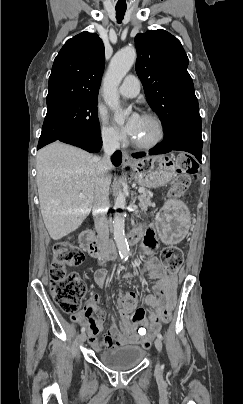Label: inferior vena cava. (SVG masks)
Wrapping results in <instances>:
<instances>
[{
  "label": "inferior vena cava",
  "instance_id": "1",
  "mask_svg": "<svg viewBox=\"0 0 243 404\" xmlns=\"http://www.w3.org/2000/svg\"><path fill=\"white\" fill-rule=\"evenodd\" d=\"M103 148L104 156L99 158L95 176V192L93 200V216L95 230L101 242L104 254L109 252V228L107 222V212L109 208V188L111 184V176L108 172L112 168L110 156L115 150L120 148L117 136L112 134H104Z\"/></svg>",
  "mask_w": 243,
  "mask_h": 404
}]
</instances>
